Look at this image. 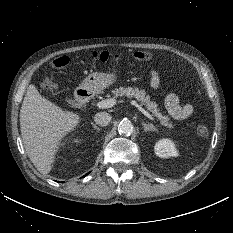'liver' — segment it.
<instances>
[{
    "label": "liver",
    "instance_id": "liver-1",
    "mask_svg": "<svg viewBox=\"0 0 233 233\" xmlns=\"http://www.w3.org/2000/svg\"><path fill=\"white\" fill-rule=\"evenodd\" d=\"M79 122V114L43 97L34 84L28 86L20 109V130L26 153L40 173L51 171L61 139Z\"/></svg>",
    "mask_w": 233,
    "mask_h": 233
}]
</instances>
